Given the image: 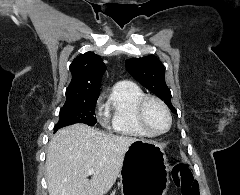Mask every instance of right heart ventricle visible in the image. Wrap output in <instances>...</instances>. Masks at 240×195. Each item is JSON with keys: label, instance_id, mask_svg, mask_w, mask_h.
I'll return each mask as SVG.
<instances>
[{"label": "right heart ventricle", "instance_id": "right-heart-ventricle-1", "mask_svg": "<svg viewBox=\"0 0 240 195\" xmlns=\"http://www.w3.org/2000/svg\"><path fill=\"white\" fill-rule=\"evenodd\" d=\"M144 96L142 89L135 83H117L107 101V121L104 125L113 135L145 138L150 137L139 124L136 115L138 101Z\"/></svg>", "mask_w": 240, "mask_h": 195}]
</instances>
